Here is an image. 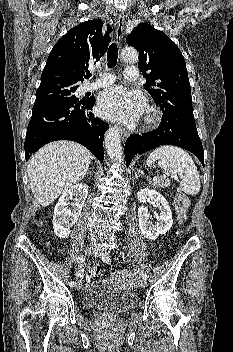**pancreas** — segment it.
<instances>
[{"mask_svg":"<svg viewBox=\"0 0 233 352\" xmlns=\"http://www.w3.org/2000/svg\"><path fill=\"white\" fill-rule=\"evenodd\" d=\"M150 183L154 187H160V188H165V187H169L170 186V181L165 179V178H161V179H157V180H154V181H150Z\"/></svg>","mask_w":233,"mask_h":352,"instance_id":"pancreas-1","label":"pancreas"}]
</instances>
